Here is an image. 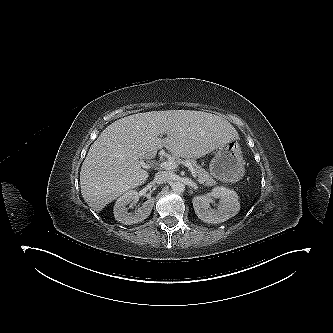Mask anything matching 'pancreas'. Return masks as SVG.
<instances>
[{
    "instance_id": "obj_1",
    "label": "pancreas",
    "mask_w": 333,
    "mask_h": 333,
    "mask_svg": "<svg viewBox=\"0 0 333 333\" xmlns=\"http://www.w3.org/2000/svg\"><path fill=\"white\" fill-rule=\"evenodd\" d=\"M187 163H190L196 172L197 181L204 186H213L216 184V181L210 176V174L201 166H199L195 160L187 159Z\"/></svg>"
}]
</instances>
